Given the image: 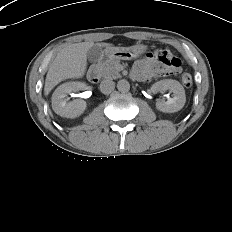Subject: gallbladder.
I'll use <instances>...</instances> for the list:
<instances>
[{
    "label": "gallbladder",
    "instance_id": "1",
    "mask_svg": "<svg viewBox=\"0 0 232 232\" xmlns=\"http://www.w3.org/2000/svg\"><path fill=\"white\" fill-rule=\"evenodd\" d=\"M102 49L98 45L92 46L87 52V58L91 63H96L100 60Z\"/></svg>",
    "mask_w": 232,
    "mask_h": 232
}]
</instances>
